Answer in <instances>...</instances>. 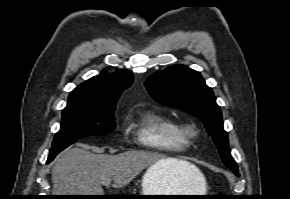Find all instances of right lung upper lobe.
Listing matches in <instances>:
<instances>
[{
  "label": "right lung upper lobe",
  "mask_w": 290,
  "mask_h": 199,
  "mask_svg": "<svg viewBox=\"0 0 290 199\" xmlns=\"http://www.w3.org/2000/svg\"><path fill=\"white\" fill-rule=\"evenodd\" d=\"M132 73L117 70L110 74L103 71L70 92L67 108H115L120 93L132 84Z\"/></svg>",
  "instance_id": "cb5924a9"
}]
</instances>
